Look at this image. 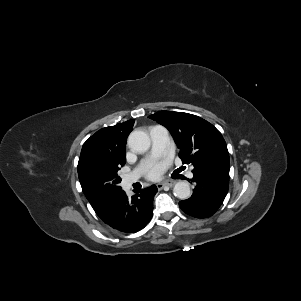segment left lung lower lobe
<instances>
[{
	"label": "left lung lower lobe",
	"mask_w": 301,
	"mask_h": 301,
	"mask_svg": "<svg viewBox=\"0 0 301 301\" xmlns=\"http://www.w3.org/2000/svg\"><path fill=\"white\" fill-rule=\"evenodd\" d=\"M195 185L192 196L179 202L180 208L195 218H207L213 215L223 203L228 185L202 175H194Z\"/></svg>",
	"instance_id": "0a47b994"
}]
</instances>
